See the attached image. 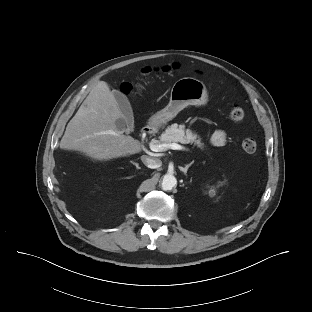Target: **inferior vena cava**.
I'll return each mask as SVG.
<instances>
[{"label": "inferior vena cava", "mask_w": 312, "mask_h": 312, "mask_svg": "<svg viewBox=\"0 0 312 312\" xmlns=\"http://www.w3.org/2000/svg\"><path fill=\"white\" fill-rule=\"evenodd\" d=\"M141 160L148 168L156 169L162 165V162L158 158H151L149 156L143 155L141 156Z\"/></svg>", "instance_id": "1"}]
</instances>
